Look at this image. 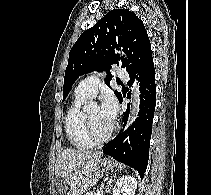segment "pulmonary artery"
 <instances>
[{"instance_id":"obj_1","label":"pulmonary artery","mask_w":211,"mask_h":195,"mask_svg":"<svg viewBox=\"0 0 211 195\" xmlns=\"http://www.w3.org/2000/svg\"><path fill=\"white\" fill-rule=\"evenodd\" d=\"M115 71L121 79H128V74L124 68L117 66L115 68ZM99 84V77L97 75H91L79 82L75 89V92L84 97L93 98L97 94Z\"/></svg>"}]
</instances>
